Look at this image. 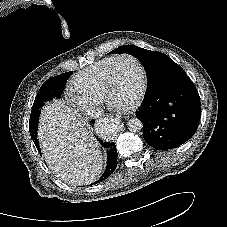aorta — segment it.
Listing matches in <instances>:
<instances>
[{
    "label": "aorta",
    "instance_id": "aorta-1",
    "mask_svg": "<svg viewBox=\"0 0 227 227\" xmlns=\"http://www.w3.org/2000/svg\"><path fill=\"white\" fill-rule=\"evenodd\" d=\"M127 126L129 131L138 132L142 129L143 124L142 121L138 118H131L127 122ZM105 127L108 133H114L116 130V122L114 120H107L105 123Z\"/></svg>",
    "mask_w": 227,
    "mask_h": 227
}]
</instances>
